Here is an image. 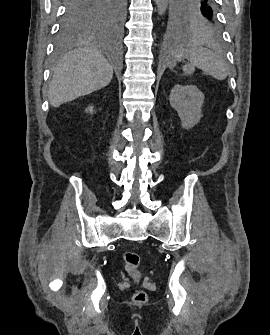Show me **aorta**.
I'll list each match as a JSON object with an SVG mask.
<instances>
[{
    "label": "aorta",
    "instance_id": "obj_1",
    "mask_svg": "<svg viewBox=\"0 0 270 335\" xmlns=\"http://www.w3.org/2000/svg\"><path fill=\"white\" fill-rule=\"evenodd\" d=\"M155 2H156L157 10L160 16H162V14H164L167 8L168 0H155Z\"/></svg>",
    "mask_w": 270,
    "mask_h": 335
}]
</instances>
